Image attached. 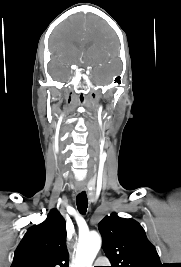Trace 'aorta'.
<instances>
[{"mask_svg": "<svg viewBox=\"0 0 181 267\" xmlns=\"http://www.w3.org/2000/svg\"><path fill=\"white\" fill-rule=\"evenodd\" d=\"M101 236L91 232L79 238L76 250V267H90L101 248Z\"/></svg>", "mask_w": 181, "mask_h": 267, "instance_id": "762f6f07", "label": "aorta"}]
</instances>
